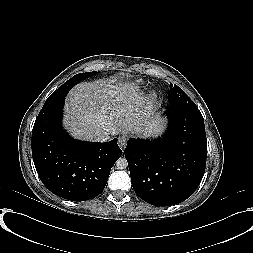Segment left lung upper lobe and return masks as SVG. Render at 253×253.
I'll use <instances>...</instances> for the list:
<instances>
[{
	"mask_svg": "<svg viewBox=\"0 0 253 253\" xmlns=\"http://www.w3.org/2000/svg\"><path fill=\"white\" fill-rule=\"evenodd\" d=\"M170 87L168 94L170 105L198 109L195 103L177 85H170Z\"/></svg>",
	"mask_w": 253,
	"mask_h": 253,
	"instance_id": "5c2ea615",
	"label": "left lung upper lobe"
}]
</instances>
